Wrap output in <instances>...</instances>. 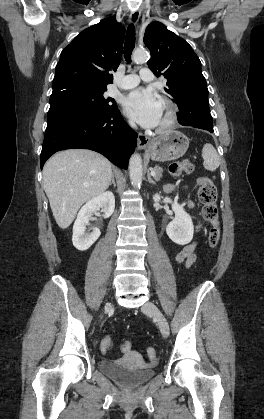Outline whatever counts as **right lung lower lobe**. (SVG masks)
Wrapping results in <instances>:
<instances>
[{
	"label": "right lung lower lobe",
	"instance_id": "obj_1",
	"mask_svg": "<svg viewBox=\"0 0 264 419\" xmlns=\"http://www.w3.org/2000/svg\"><path fill=\"white\" fill-rule=\"evenodd\" d=\"M137 136L118 109L105 112L67 109L47 122L41 168L57 151L85 148L97 151L118 167L127 169L137 145Z\"/></svg>",
	"mask_w": 264,
	"mask_h": 419
}]
</instances>
